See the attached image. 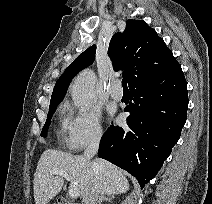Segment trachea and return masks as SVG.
<instances>
[{
	"instance_id": "1",
	"label": "trachea",
	"mask_w": 212,
	"mask_h": 204,
	"mask_svg": "<svg viewBox=\"0 0 212 204\" xmlns=\"http://www.w3.org/2000/svg\"><path fill=\"white\" fill-rule=\"evenodd\" d=\"M122 86H123L124 90H127L128 89L127 88V79H123L122 80Z\"/></svg>"
}]
</instances>
